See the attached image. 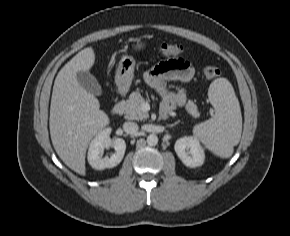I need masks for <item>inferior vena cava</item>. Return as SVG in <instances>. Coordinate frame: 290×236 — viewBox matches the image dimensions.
<instances>
[{"instance_id": "obj_1", "label": "inferior vena cava", "mask_w": 290, "mask_h": 236, "mask_svg": "<svg viewBox=\"0 0 290 236\" xmlns=\"http://www.w3.org/2000/svg\"><path fill=\"white\" fill-rule=\"evenodd\" d=\"M123 130L127 134H135L136 132H138L139 127L135 122H125L123 124Z\"/></svg>"}]
</instances>
